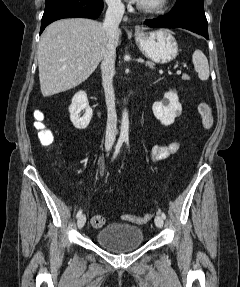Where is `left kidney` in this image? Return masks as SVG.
Masks as SVG:
<instances>
[{
    "instance_id": "obj_1",
    "label": "left kidney",
    "mask_w": 240,
    "mask_h": 287,
    "mask_svg": "<svg viewBox=\"0 0 240 287\" xmlns=\"http://www.w3.org/2000/svg\"><path fill=\"white\" fill-rule=\"evenodd\" d=\"M154 116L164 126H169L174 123L175 118L182 112V105L179 103V98L175 92H166L164 98L160 102H155L152 106Z\"/></svg>"
}]
</instances>
